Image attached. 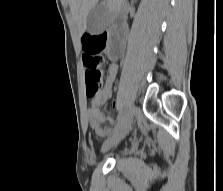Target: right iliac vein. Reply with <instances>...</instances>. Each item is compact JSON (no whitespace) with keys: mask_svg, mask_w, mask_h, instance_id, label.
<instances>
[{"mask_svg":"<svg viewBox=\"0 0 223 191\" xmlns=\"http://www.w3.org/2000/svg\"><path fill=\"white\" fill-rule=\"evenodd\" d=\"M134 106L129 105L123 121L115 133L110 136L103 144L102 150L107 151L123 140L131 129L134 117Z\"/></svg>","mask_w":223,"mask_h":191,"instance_id":"right-iliac-vein-1","label":"right iliac vein"}]
</instances>
